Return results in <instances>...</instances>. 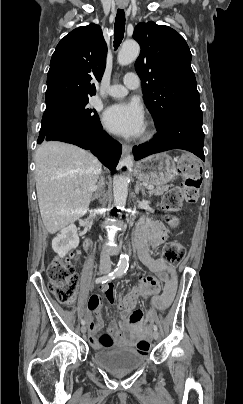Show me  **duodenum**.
Listing matches in <instances>:
<instances>
[{
	"label": "duodenum",
	"instance_id": "duodenum-1",
	"mask_svg": "<svg viewBox=\"0 0 243 404\" xmlns=\"http://www.w3.org/2000/svg\"><path fill=\"white\" fill-rule=\"evenodd\" d=\"M88 246H89V241H86V242H85V247H86V249L88 248Z\"/></svg>",
	"mask_w": 243,
	"mask_h": 404
}]
</instances>
